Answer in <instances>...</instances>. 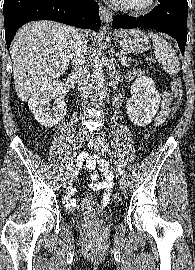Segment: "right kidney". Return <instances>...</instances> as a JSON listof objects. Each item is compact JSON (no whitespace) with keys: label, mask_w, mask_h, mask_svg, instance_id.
Masks as SVG:
<instances>
[{"label":"right kidney","mask_w":195,"mask_h":270,"mask_svg":"<svg viewBox=\"0 0 195 270\" xmlns=\"http://www.w3.org/2000/svg\"><path fill=\"white\" fill-rule=\"evenodd\" d=\"M61 81H52L42 86L28 101V106L35 119L45 127H53L66 115V103L58 97L63 90ZM56 99L57 107L50 111L49 102Z\"/></svg>","instance_id":"1"}]
</instances>
